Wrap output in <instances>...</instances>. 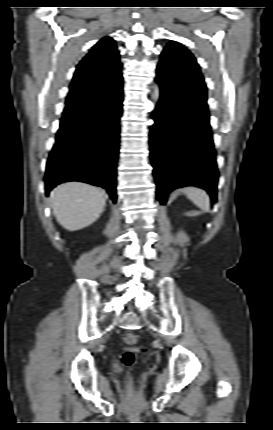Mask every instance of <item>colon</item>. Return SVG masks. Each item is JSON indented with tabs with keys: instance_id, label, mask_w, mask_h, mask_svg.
<instances>
[{
	"instance_id": "colon-1",
	"label": "colon",
	"mask_w": 273,
	"mask_h": 430,
	"mask_svg": "<svg viewBox=\"0 0 273 430\" xmlns=\"http://www.w3.org/2000/svg\"><path fill=\"white\" fill-rule=\"evenodd\" d=\"M123 340L127 345H134L137 342V336L131 332H126L123 335ZM135 356H136V350H133V349L125 350L121 356L122 364L127 368L131 367L135 362Z\"/></svg>"
}]
</instances>
